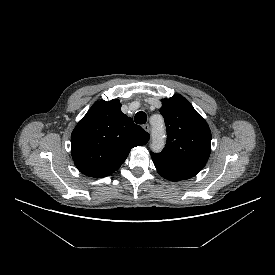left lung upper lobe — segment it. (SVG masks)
<instances>
[{
  "instance_id": "left-lung-upper-lobe-1",
  "label": "left lung upper lobe",
  "mask_w": 275,
  "mask_h": 275,
  "mask_svg": "<svg viewBox=\"0 0 275 275\" xmlns=\"http://www.w3.org/2000/svg\"><path fill=\"white\" fill-rule=\"evenodd\" d=\"M160 113L165 120L167 142L160 153H151L154 165L166 179H189L199 173L208 161L210 128L181 95L163 99Z\"/></svg>"
}]
</instances>
